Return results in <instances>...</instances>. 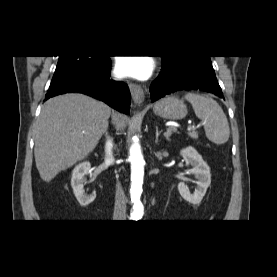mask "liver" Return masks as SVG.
Listing matches in <instances>:
<instances>
[{
	"instance_id": "6515ba94",
	"label": "liver",
	"mask_w": 277,
	"mask_h": 277,
	"mask_svg": "<svg viewBox=\"0 0 277 277\" xmlns=\"http://www.w3.org/2000/svg\"><path fill=\"white\" fill-rule=\"evenodd\" d=\"M110 116L117 130L125 128L123 115L86 95L70 93L46 101L37 121L34 148L41 179L49 182L86 158L106 132Z\"/></svg>"
}]
</instances>
